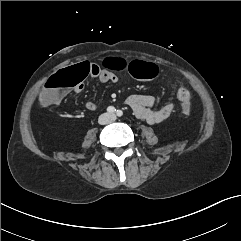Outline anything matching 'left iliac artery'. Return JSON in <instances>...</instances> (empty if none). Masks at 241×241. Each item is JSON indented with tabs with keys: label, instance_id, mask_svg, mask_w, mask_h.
I'll use <instances>...</instances> for the list:
<instances>
[{
	"label": "left iliac artery",
	"instance_id": "obj_1",
	"mask_svg": "<svg viewBox=\"0 0 241 241\" xmlns=\"http://www.w3.org/2000/svg\"><path fill=\"white\" fill-rule=\"evenodd\" d=\"M116 114L117 116L121 117L123 115V112L121 110H117Z\"/></svg>",
	"mask_w": 241,
	"mask_h": 241
}]
</instances>
